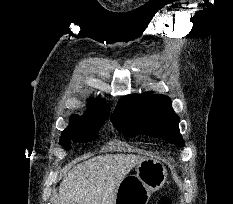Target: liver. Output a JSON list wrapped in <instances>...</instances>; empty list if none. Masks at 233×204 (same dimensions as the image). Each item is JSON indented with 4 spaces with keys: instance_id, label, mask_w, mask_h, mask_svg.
I'll return each mask as SVG.
<instances>
[{
    "instance_id": "liver-1",
    "label": "liver",
    "mask_w": 233,
    "mask_h": 204,
    "mask_svg": "<svg viewBox=\"0 0 233 204\" xmlns=\"http://www.w3.org/2000/svg\"><path fill=\"white\" fill-rule=\"evenodd\" d=\"M144 157L106 154L74 166L59 186L57 204H114L118 186Z\"/></svg>"
}]
</instances>
